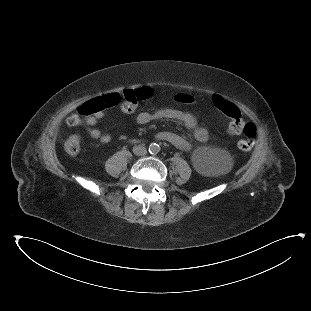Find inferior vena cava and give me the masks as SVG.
Returning <instances> with one entry per match:
<instances>
[{
  "label": "inferior vena cava",
  "mask_w": 311,
  "mask_h": 311,
  "mask_svg": "<svg viewBox=\"0 0 311 311\" xmlns=\"http://www.w3.org/2000/svg\"><path fill=\"white\" fill-rule=\"evenodd\" d=\"M133 152L135 155L143 156L147 153V150L144 146L138 145L133 147Z\"/></svg>",
  "instance_id": "inferior-vena-cava-1"
}]
</instances>
